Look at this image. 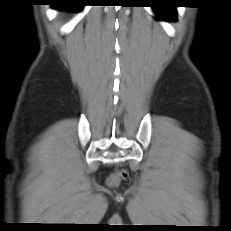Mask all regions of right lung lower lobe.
I'll list each match as a JSON object with an SVG mask.
<instances>
[{
  "instance_id": "1",
  "label": "right lung lower lobe",
  "mask_w": 231,
  "mask_h": 231,
  "mask_svg": "<svg viewBox=\"0 0 231 231\" xmlns=\"http://www.w3.org/2000/svg\"><path fill=\"white\" fill-rule=\"evenodd\" d=\"M85 3L83 0H54L52 6L55 8H71L82 10Z\"/></svg>"
}]
</instances>
